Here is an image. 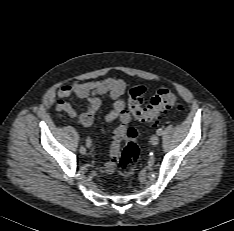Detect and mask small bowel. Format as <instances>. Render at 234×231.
<instances>
[{
    "label": "small bowel",
    "instance_id": "obj_1",
    "mask_svg": "<svg viewBox=\"0 0 234 231\" xmlns=\"http://www.w3.org/2000/svg\"><path fill=\"white\" fill-rule=\"evenodd\" d=\"M127 89V83L120 78L108 77L103 80L78 82L63 85L58 90V103L56 109L76 118L84 127H90L94 121V115L101 106L102 97L108 96L114 100L113 107L106 115V121L112 122L120 119L124 125H128L129 115L125 110L123 96ZM74 95L85 105V111L78 113L66 99ZM115 170L114 160L99 167V171L111 174Z\"/></svg>",
    "mask_w": 234,
    "mask_h": 231
}]
</instances>
